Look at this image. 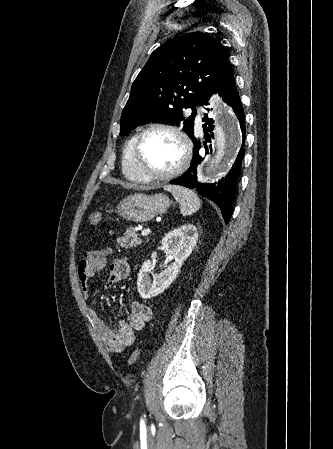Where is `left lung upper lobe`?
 <instances>
[{
    "label": "left lung upper lobe",
    "mask_w": 333,
    "mask_h": 449,
    "mask_svg": "<svg viewBox=\"0 0 333 449\" xmlns=\"http://www.w3.org/2000/svg\"><path fill=\"white\" fill-rule=\"evenodd\" d=\"M232 74L223 45L203 32L174 38L156 49L135 79L122 111L120 134L149 120L173 121L194 137V105H207L211 94ZM192 108L184 116V108Z\"/></svg>",
    "instance_id": "5c2ea615"
}]
</instances>
